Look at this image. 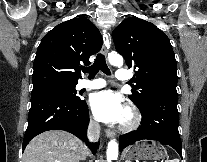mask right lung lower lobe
<instances>
[{
	"label": "right lung lower lobe",
	"instance_id": "1",
	"mask_svg": "<svg viewBox=\"0 0 207 162\" xmlns=\"http://www.w3.org/2000/svg\"><path fill=\"white\" fill-rule=\"evenodd\" d=\"M88 123L89 113L85 100L74 101L58 93L31 96L23 150L33 137L48 130H65L84 140ZM87 145L95 154L98 144Z\"/></svg>",
	"mask_w": 207,
	"mask_h": 162
}]
</instances>
